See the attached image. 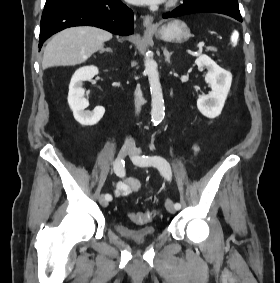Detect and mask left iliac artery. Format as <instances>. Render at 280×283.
<instances>
[{
	"instance_id": "obj_1",
	"label": "left iliac artery",
	"mask_w": 280,
	"mask_h": 283,
	"mask_svg": "<svg viewBox=\"0 0 280 283\" xmlns=\"http://www.w3.org/2000/svg\"><path fill=\"white\" fill-rule=\"evenodd\" d=\"M137 163L141 166H154L156 167L163 176L170 181L172 177L171 167L167 160L161 156H138ZM175 208L178 210L181 208L180 203L174 204Z\"/></svg>"
}]
</instances>
